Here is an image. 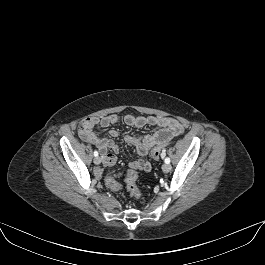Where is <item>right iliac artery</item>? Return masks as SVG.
I'll return each instance as SVG.
<instances>
[{
    "instance_id": "obj_1",
    "label": "right iliac artery",
    "mask_w": 265,
    "mask_h": 265,
    "mask_svg": "<svg viewBox=\"0 0 265 265\" xmlns=\"http://www.w3.org/2000/svg\"><path fill=\"white\" fill-rule=\"evenodd\" d=\"M94 156L97 157L98 156V152L94 151Z\"/></svg>"
}]
</instances>
